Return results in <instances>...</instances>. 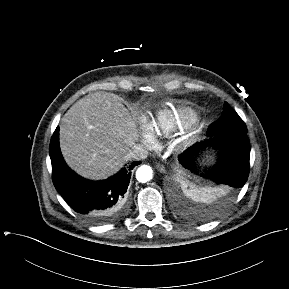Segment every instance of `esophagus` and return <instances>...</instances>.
<instances>
[{"instance_id": "obj_1", "label": "esophagus", "mask_w": 289, "mask_h": 289, "mask_svg": "<svg viewBox=\"0 0 289 289\" xmlns=\"http://www.w3.org/2000/svg\"><path fill=\"white\" fill-rule=\"evenodd\" d=\"M155 167H156V169H157L158 171H160L161 173H165V172H166L165 167H164L162 164H160V163H157V164L155 165Z\"/></svg>"}]
</instances>
